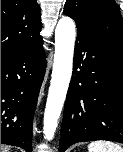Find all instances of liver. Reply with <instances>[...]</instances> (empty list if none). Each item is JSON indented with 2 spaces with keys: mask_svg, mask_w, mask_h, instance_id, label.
I'll use <instances>...</instances> for the list:
<instances>
[{
  "mask_svg": "<svg viewBox=\"0 0 123 152\" xmlns=\"http://www.w3.org/2000/svg\"><path fill=\"white\" fill-rule=\"evenodd\" d=\"M10 147L7 145H1V152H9Z\"/></svg>",
  "mask_w": 123,
  "mask_h": 152,
  "instance_id": "6515ba94",
  "label": "liver"
}]
</instances>
